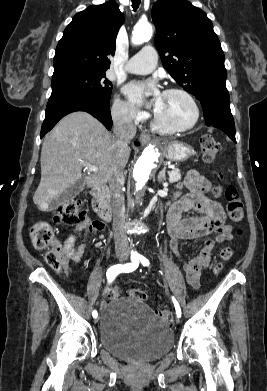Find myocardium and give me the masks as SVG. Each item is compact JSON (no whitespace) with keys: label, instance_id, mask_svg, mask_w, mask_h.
Segmentation results:
<instances>
[{"label":"myocardium","instance_id":"f54148a6","mask_svg":"<svg viewBox=\"0 0 267 391\" xmlns=\"http://www.w3.org/2000/svg\"><path fill=\"white\" fill-rule=\"evenodd\" d=\"M164 93H178V94L183 95L192 106L193 118H192L191 122L187 125L174 126V125H170V124L163 122L155 114L154 115V123H155L156 127L163 129L165 131H168V132H184V131H188V130L194 128L198 124V122L200 120V115H201L200 107H199V104H198L197 100L195 99V97L189 91H187L184 88H180V87L167 88L164 91Z\"/></svg>","mask_w":267,"mask_h":391}]
</instances>
